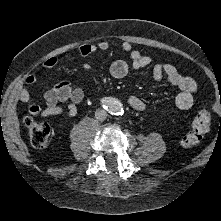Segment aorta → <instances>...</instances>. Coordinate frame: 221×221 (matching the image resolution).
<instances>
[{
  "label": "aorta",
  "mask_w": 221,
  "mask_h": 221,
  "mask_svg": "<svg viewBox=\"0 0 221 221\" xmlns=\"http://www.w3.org/2000/svg\"><path fill=\"white\" fill-rule=\"evenodd\" d=\"M109 109L112 113H120V107L118 105H111Z\"/></svg>",
  "instance_id": "aorta-1"
}]
</instances>
